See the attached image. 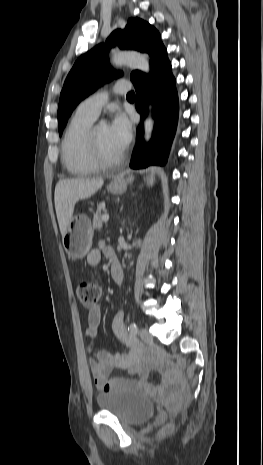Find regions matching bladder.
<instances>
[{"instance_id":"bladder-1","label":"bladder","mask_w":263,"mask_h":465,"mask_svg":"<svg viewBox=\"0 0 263 465\" xmlns=\"http://www.w3.org/2000/svg\"><path fill=\"white\" fill-rule=\"evenodd\" d=\"M99 408L116 416L127 425H136L150 419L155 411L153 402L142 393L116 388L98 394Z\"/></svg>"}]
</instances>
